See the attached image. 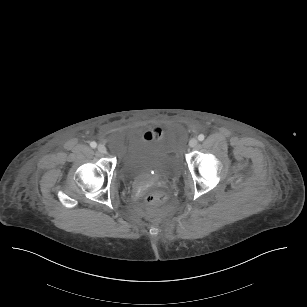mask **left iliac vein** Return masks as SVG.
I'll list each match as a JSON object with an SVG mask.
<instances>
[{"label":"left iliac vein","mask_w":307,"mask_h":307,"mask_svg":"<svg viewBox=\"0 0 307 307\" xmlns=\"http://www.w3.org/2000/svg\"><path fill=\"white\" fill-rule=\"evenodd\" d=\"M198 144V141L196 138H192L190 141H189V146L194 148L196 145Z\"/></svg>","instance_id":"obj_1"}]
</instances>
